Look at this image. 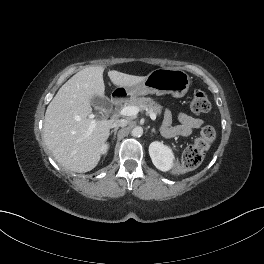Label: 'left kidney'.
<instances>
[{
  "mask_svg": "<svg viewBox=\"0 0 264 264\" xmlns=\"http://www.w3.org/2000/svg\"><path fill=\"white\" fill-rule=\"evenodd\" d=\"M149 155L154 166L161 171H168L174 165V154L170 147L154 141L149 145Z\"/></svg>",
  "mask_w": 264,
  "mask_h": 264,
  "instance_id": "left-kidney-1",
  "label": "left kidney"
}]
</instances>
